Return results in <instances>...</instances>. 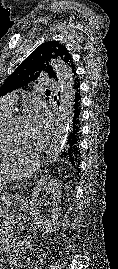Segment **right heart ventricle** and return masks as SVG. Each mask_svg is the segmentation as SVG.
<instances>
[{
	"mask_svg": "<svg viewBox=\"0 0 118 269\" xmlns=\"http://www.w3.org/2000/svg\"><path fill=\"white\" fill-rule=\"evenodd\" d=\"M13 115V110L0 105V157L14 155L21 151L22 146L11 140L7 132V122Z\"/></svg>",
	"mask_w": 118,
	"mask_h": 269,
	"instance_id": "1",
	"label": "right heart ventricle"
}]
</instances>
